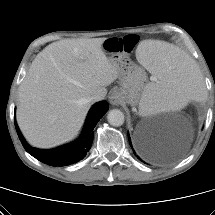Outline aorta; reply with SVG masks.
I'll return each mask as SVG.
<instances>
[{
  "mask_svg": "<svg viewBox=\"0 0 215 215\" xmlns=\"http://www.w3.org/2000/svg\"><path fill=\"white\" fill-rule=\"evenodd\" d=\"M107 120L110 125L118 127L123 125L125 118L122 111L119 109H113L108 112Z\"/></svg>",
  "mask_w": 215,
  "mask_h": 215,
  "instance_id": "1",
  "label": "aorta"
}]
</instances>
